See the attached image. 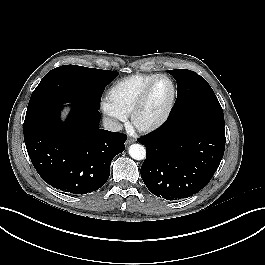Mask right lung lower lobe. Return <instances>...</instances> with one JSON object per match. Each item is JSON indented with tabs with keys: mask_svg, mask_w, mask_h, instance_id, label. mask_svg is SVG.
<instances>
[{
	"mask_svg": "<svg viewBox=\"0 0 265 265\" xmlns=\"http://www.w3.org/2000/svg\"><path fill=\"white\" fill-rule=\"evenodd\" d=\"M62 106L24 126L29 157L42 179L56 189L86 194L102 187L114 156L125 150L127 136L99 128V109L71 104L65 122Z\"/></svg>",
	"mask_w": 265,
	"mask_h": 265,
	"instance_id": "obj_1",
	"label": "right lung lower lobe"
}]
</instances>
